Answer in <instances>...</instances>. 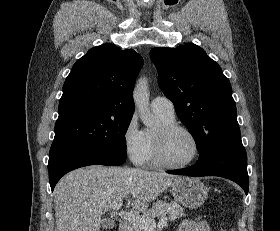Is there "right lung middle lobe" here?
Here are the masks:
<instances>
[{
  "label": "right lung middle lobe",
  "mask_w": 280,
  "mask_h": 231,
  "mask_svg": "<svg viewBox=\"0 0 280 231\" xmlns=\"http://www.w3.org/2000/svg\"><path fill=\"white\" fill-rule=\"evenodd\" d=\"M132 116L100 115L57 120L53 143H76L126 159L125 133Z\"/></svg>",
  "instance_id": "dd1d6c3e"
}]
</instances>
